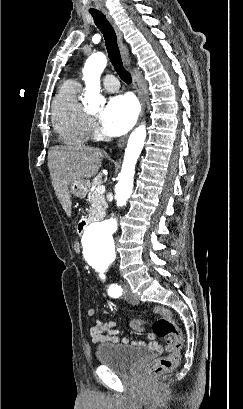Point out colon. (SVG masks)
Returning a JSON list of instances; mask_svg holds the SVG:
<instances>
[{
  "label": "colon",
  "mask_w": 243,
  "mask_h": 409,
  "mask_svg": "<svg viewBox=\"0 0 243 409\" xmlns=\"http://www.w3.org/2000/svg\"><path fill=\"white\" fill-rule=\"evenodd\" d=\"M73 249L76 253L80 252V244L75 241ZM153 312L160 317L153 324L154 333L161 338H164L167 343H172V351L166 355L153 360L147 367V374L150 377H155L173 370L180 361L181 350L183 347V335L173 319L169 309L157 306ZM146 322L143 319H135L131 322V327L134 330H143Z\"/></svg>",
  "instance_id": "colon-1"
}]
</instances>
